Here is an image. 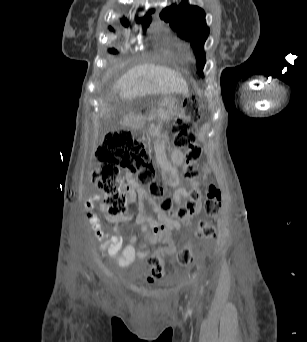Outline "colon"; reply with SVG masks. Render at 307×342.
<instances>
[{
    "label": "colon",
    "mask_w": 307,
    "mask_h": 342,
    "mask_svg": "<svg viewBox=\"0 0 307 342\" xmlns=\"http://www.w3.org/2000/svg\"><path fill=\"white\" fill-rule=\"evenodd\" d=\"M200 109L197 101L189 99L185 102L182 113L176 116L171 124L174 145L184 153L186 167L184 177L194 180L200 177L201 170L197 165L202 150L195 142L194 125L199 121ZM99 167L91 176L93 184L100 190V213L109 219L124 220L128 218L127 198L121 186V171H127L138 176L143 184H148L151 195L159 198L158 207L163 212H173L175 218L188 225L199 211L196 203L201 200L199 189L192 191L193 200L184 206L173 209L170 198L163 195V186L152 180L153 167L149 151L142 140L126 130H114L108 133L98 148ZM205 199L202 204L203 212L208 219L198 220L195 234L199 238L213 239L216 235L215 218L221 207V191L215 184H208L204 189ZM171 232L166 226H153L152 236L148 239L159 243L157 254L148 257L152 266L151 275L146 278L148 284H154L162 278L164 267L160 254H175L177 241L171 239ZM145 250L150 248L148 243L143 245ZM192 242L188 240L178 252L177 261L181 265H192Z\"/></svg>",
    "instance_id": "obj_1"
}]
</instances>
